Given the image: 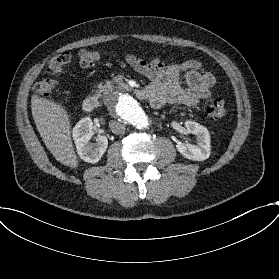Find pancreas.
Returning <instances> with one entry per match:
<instances>
[{
  "mask_svg": "<svg viewBox=\"0 0 279 279\" xmlns=\"http://www.w3.org/2000/svg\"><path fill=\"white\" fill-rule=\"evenodd\" d=\"M95 87L98 88L97 94L103 95L108 93L112 89L113 83L108 80H103L102 82L96 84Z\"/></svg>",
  "mask_w": 279,
  "mask_h": 279,
  "instance_id": "obj_1",
  "label": "pancreas"
}]
</instances>
